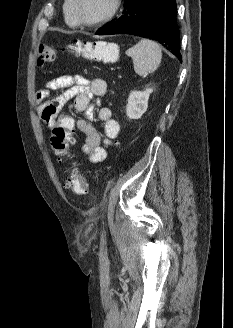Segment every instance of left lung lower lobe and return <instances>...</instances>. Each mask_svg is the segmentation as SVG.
I'll list each match as a JSON object with an SVG mask.
<instances>
[{"label":"left lung lower lobe","mask_w":233,"mask_h":328,"mask_svg":"<svg viewBox=\"0 0 233 328\" xmlns=\"http://www.w3.org/2000/svg\"><path fill=\"white\" fill-rule=\"evenodd\" d=\"M123 14L97 30V35L130 34L159 41L180 61L176 0H125Z\"/></svg>","instance_id":"left-lung-lower-lobe-1"}]
</instances>
